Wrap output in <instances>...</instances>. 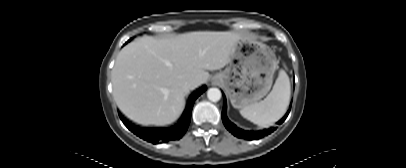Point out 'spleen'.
<instances>
[{
    "label": "spleen",
    "instance_id": "1",
    "mask_svg": "<svg viewBox=\"0 0 406 168\" xmlns=\"http://www.w3.org/2000/svg\"><path fill=\"white\" fill-rule=\"evenodd\" d=\"M289 101V77L285 70H280L273 89L268 96L263 101L242 108L240 114L254 124L268 127L285 114Z\"/></svg>",
    "mask_w": 406,
    "mask_h": 168
}]
</instances>
